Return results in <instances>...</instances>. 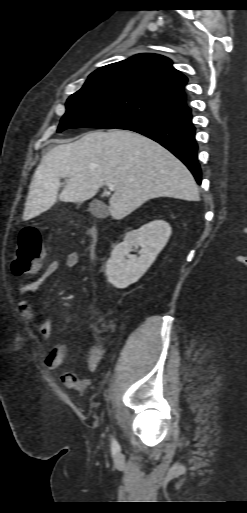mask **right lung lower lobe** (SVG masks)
<instances>
[{
  "label": "right lung lower lobe",
  "mask_w": 247,
  "mask_h": 513,
  "mask_svg": "<svg viewBox=\"0 0 247 513\" xmlns=\"http://www.w3.org/2000/svg\"><path fill=\"white\" fill-rule=\"evenodd\" d=\"M118 129L131 130L160 143L179 158L201 184V169L197 160L195 127L191 109L187 106L158 115L138 119Z\"/></svg>",
  "instance_id": "98d812e1"
}]
</instances>
